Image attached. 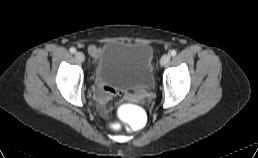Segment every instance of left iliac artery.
I'll list each match as a JSON object with an SVG mask.
<instances>
[{
	"label": "left iliac artery",
	"instance_id": "1",
	"mask_svg": "<svg viewBox=\"0 0 258 158\" xmlns=\"http://www.w3.org/2000/svg\"><path fill=\"white\" fill-rule=\"evenodd\" d=\"M177 54V51L176 50H172L171 52H170V55L171 56H175Z\"/></svg>",
	"mask_w": 258,
	"mask_h": 158
}]
</instances>
